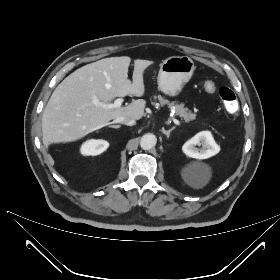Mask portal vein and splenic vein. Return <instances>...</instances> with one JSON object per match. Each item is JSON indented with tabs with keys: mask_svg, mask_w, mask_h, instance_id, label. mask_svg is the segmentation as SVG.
Wrapping results in <instances>:
<instances>
[{
	"mask_svg": "<svg viewBox=\"0 0 280 280\" xmlns=\"http://www.w3.org/2000/svg\"><path fill=\"white\" fill-rule=\"evenodd\" d=\"M123 99L122 98H118L114 101V103H109V104H105L104 107L113 109V108H121L122 103H123ZM172 121L174 122V124L180 126L181 123L179 120H177L176 118H172Z\"/></svg>",
	"mask_w": 280,
	"mask_h": 280,
	"instance_id": "1",
	"label": "portal vein and splenic vein"
}]
</instances>
